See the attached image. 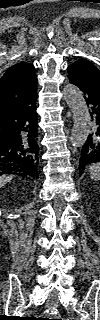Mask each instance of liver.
<instances>
[{
  "label": "liver",
  "instance_id": "6515ba94",
  "mask_svg": "<svg viewBox=\"0 0 100 320\" xmlns=\"http://www.w3.org/2000/svg\"><path fill=\"white\" fill-rule=\"evenodd\" d=\"M13 176L12 175H1L0 176V185L4 186L7 182H10L12 180Z\"/></svg>",
  "mask_w": 100,
  "mask_h": 320
}]
</instances>
